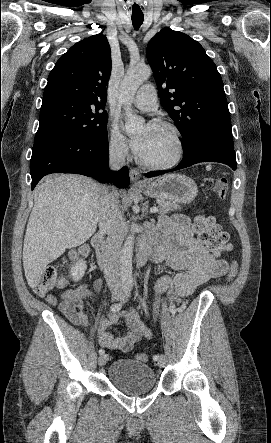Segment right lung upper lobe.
I'll use <instances>...</instances> for the list:
<instances>
[{
  "label": "right lung upper lobe",
  "instance_id": "right-lung-upper-lobe-1",
  "mask_svg": "<svg viewBox=\"0 0 271 443\" xmlns=\"http://www.w3.org/2000/svg\"><path fill=\"white\" fill-rule=\"evenodd\" d=\"M111 72L107 38L94 35L74 44L56 62L49 74L43 102L73 99L104 105Z\"/></svg>",
  "mask_w": 271,
  "mask_h": 443
}]
</instances>
